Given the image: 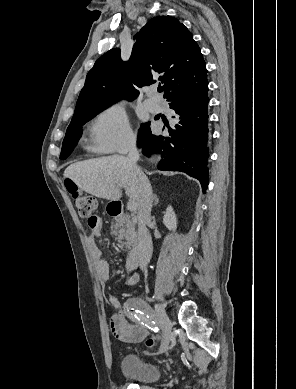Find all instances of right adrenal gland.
I'll use <instances>...</instances> for the list:
<instances>
[{
	"instance_id": "right-adrenal-gland-1",
	"label": "right adrenal gland",
	"mask_w": 296,
	"mask_h": 389,
	"mask_svg": "<svg viewBox=\"0 0 296 389\" xmlns=\"http://www.w3.org/2000/svg\"><path fill=\"white\" fill-rule=\"evenodd\" d=\"M153 200H154V206H157L159 203V198L157 197L156 194L153 195Z\"/></svg>"
}]
</instances>
